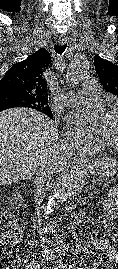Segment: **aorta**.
<instances>
[{
    "label": "aorta",
    "mask_w": 118,
    "mask_h": 269,
    "mask_svg": "<svg viewBox=\"0 0 118 269\" xmlns=\"http://www.w3.org/2000/svg\"><path fill=\"white\" fill-rule=\"evenodd\" d=\"M89 72V61L85 57H77L69 67L66 74L67 82L71 85L78 84ZM84 184V171L74 169L69 172L62 183V186L57 190L54 196L48 201L45 214L48 216L57 203L75 192L81 190Z\"/></svg>",
    "instance_id": "1"
}]
</instances>
